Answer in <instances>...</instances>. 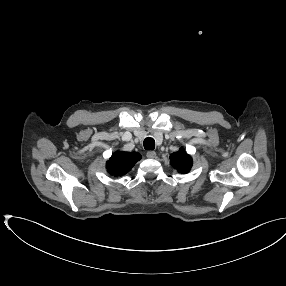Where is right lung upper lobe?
Returning a JSON list of instances; mask_svg holds the SVG:
<instances>
[{
  "instance_id": "cb5924a9",
  "label": "right lung upper lobe",
  "mask_w": 286,
  "mask_h": 286,
  "mask_svg": "<svg viewBox=\"0 0 286 286\" xmlns=\"http://www.w3.org/2000/svg\"><path fill=\"white\" fill-rule=\"evenodd\" d=\"M141 159V155L137 152H115L110 160L106 163L108 172L115 176H122L129 172L137 161Z\"/></svg>"
}]
</instances>
